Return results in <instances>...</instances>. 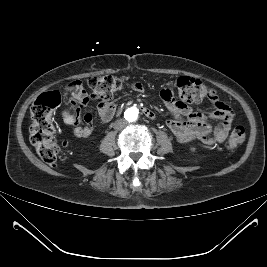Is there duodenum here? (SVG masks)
Segmentation results:
<instances>
[{
	"mask_svg": "<svg viewBox=\"0 0 267 267\" xmlns=\"http://www.w3.org/2000/svg\"><path fill=\"white\" fill-rule=\"evenodd\" d=\"M143 111L148 117L154 118V113L151 110L144 108Z\"/></svg>",
	"mask_w": 267,
	"mask_h": 267,
	"instance_id": "obj_1",
	"label": "duodenum"
}]
</instances>
